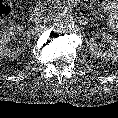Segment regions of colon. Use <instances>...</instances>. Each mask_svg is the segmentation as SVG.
Returning <instances> with one entry per match:
<instances>
[{
    "label": "colon",
    "mask_w": 118,
    "mask_h": 118,
    "mask_svg": "<svg viewBox=\"0 0 118 118\" xmlns=\"http://www.w3.org/2000/svg\"><path fill=\"white\" fill-rule=\"evenodd\" d=\"M12 13L11 0H0V24L6 22Z\"/></svg>",
    "instance_id": "1"
}]
</instances>
